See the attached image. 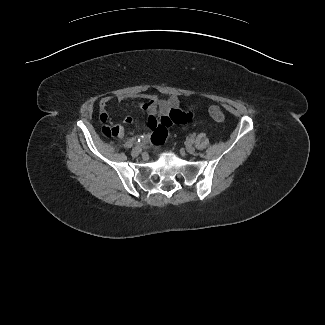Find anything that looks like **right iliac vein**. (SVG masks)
Masks as SVG:
<instances>
[{"instance_id": "right-iliac-vein-1", "label": "right iliac vein", "mask_w": 325, "mask_h": 325, "mask_svg": "<svg viewBox=\"0 0 325 325\" xmlns=\"http://www.w3.org/2000/svg\"><path fill=\"white\" fill-rule=\"evenodd\" d=\"M139 153H140V150H139L138 147L132 149V151H131V155H132L133 157H137V156L139 155Z\"/></svg>"}]
</instances>
